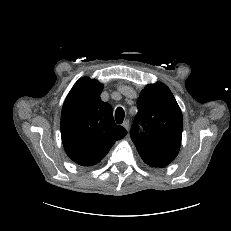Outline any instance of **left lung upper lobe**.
Segmentation results:
<instances>
[{
    "instance_id": "left-lung-upper-lobe-1",
    "label": "left lung upper lobe",
    "mask_w": 231,
    "mask_h": 231,
    "mask_svg": "<svg viewBox=\"0 0 231 231\" xmlns=\"http://www.w3.org/2000/svg\"><path fill=\"white\" fill-rule=\"evenodd\" d=\"M138 113L131 129V138L143 161L163 168L177 156L183 130L181 110L163 83L147 85L137 101ZM144 128L139 134V126Z\"/></svg>"
}]
</instances>
